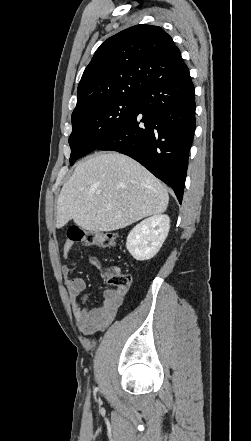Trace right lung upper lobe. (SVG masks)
<instances>
[{
    "mask_svg": "<svg viewBox=\"0 0 251 441\" xmlns=\"http://www.w3.org/2000/svg\"><path fill=\"white\" fill-rule=\"evenodd\" d=\"M185 67L179 49L161 27L132 26L97 49L80 80L73 114L104 98L141 95Z\"/></svg>",
    "mask_w": 251,
    "mask_h": 441,
    "instance_id": "cb5924a9",
    "label": "right lung upper lobe"
}]
</instances>
